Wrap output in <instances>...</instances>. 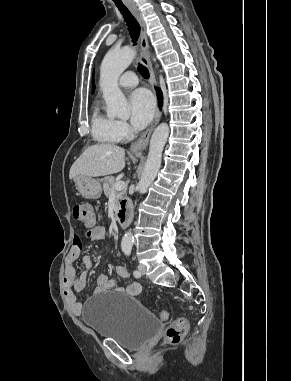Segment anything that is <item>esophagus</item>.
I'll return each instance as SVG.
<instances>
[{"label": "esophagus", "instance_id": "1", "mask_svg": "<svg viewBox=\"0 0 291 381\" xmlns=\"http://www.w3.org/2000/svg\"><path fill=\"white\" fill-rule=\"evenodd\" d=\"M128 9L131 11V13L135 16L136 20L138 21L140 28H141V63L146 66L150 73V81L153 86L156 85V77L155 72L152 67V64L149 60L148 53H149V42L148 37L146 34V25L143 19L142 14L136 7L134 3L127 2L126 3ZM160 106L158 104L156 114L154 116V119L152 120L150 126L148 129L141 135L140 138H138L136 141H134L130 147V151L136 155H141L144 151V149L147 147L149 138L151 136V133L153 132L154 128L158 124L160 120Z\"/></svg>", "mask_w": 291, "mask_h": 381}]
</instances>
